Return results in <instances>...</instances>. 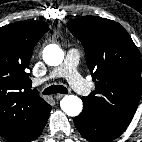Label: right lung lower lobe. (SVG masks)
I'll use <instances>...</instances> for the list:
<instances>
[{"instance_id": "98d812e1", "label": "right lung lower lobe", "mask_w": 142, "mask_h": 142, "mask_svg": "<svg viewBox=\"0 0 142 142\" xmlns=\"http://www.w3.org/2000/svg\"><path fill=\"white\" fill-rule=\"evenodd\" d=\"M51 110V109H50ZM49 115L47 116V118L45 119V121L41 124V126L39 127L38 131L36 132V134L29 140V142L35 140L42 132L47 120H48Z\"/></svg>"}]
</instances>
